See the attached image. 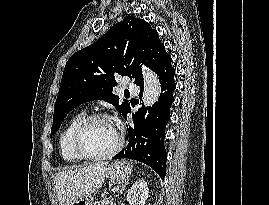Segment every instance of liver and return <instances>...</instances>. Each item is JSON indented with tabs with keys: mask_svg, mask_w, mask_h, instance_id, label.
I'll list each match as a JSON object with an SVG mask.
<instances>
[{
	"mask_svg": "<svg viewBox=\"0 0 269 205\" xmlns=\"http://www.w3.org/2000/svg\"><path fill=\"white\" fill-rule=\"evenodd\" d=\"M107 166V162H102L59 172L55 177L59 205H70L75 199L94 193L104 182Z\"/></svg>",
	"mask_w": 269,
	"mask_h": 205,
	"instance_id": "liver-1",
	"label": "liver"
}]
</instances>
